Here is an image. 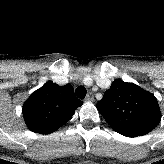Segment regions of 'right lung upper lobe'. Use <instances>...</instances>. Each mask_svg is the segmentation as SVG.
Here are the masks:
<instances>
[{"label":"right lung upper lobe","mask_w":164,"mask_h":164,"mask_svg":"<svg viewBox=\"0 0 164 164\" xmlns=\"http://www.w3.org/2000/svg\"><path fill=\"white\" fill-rule=\"evenodd\" d=\"M82 104L72 85L59 86L48 81L25 101L23 116L31 131L50 134L67 123Z\"/></svg>","instance_id":"1"}]
</instances>
